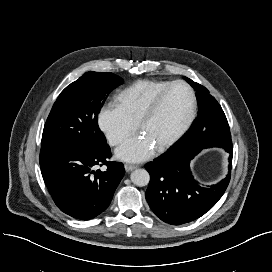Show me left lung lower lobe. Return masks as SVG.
<instances>
[{
	"label": "left lung lower lobe",
	"instance_id": "obj_1",
	"mask_svg": "<svg viewBox=\"0 0 272 272\" xmlns=\"http://www.w3.org/2000/svg\"><path fill=\"white\" fill-rule=\"evenodd\" d=\"M209 147H222L230 154L229 174L215 185L203 186L193 178L189 164L202 149ZM232 153V141L219 146L207 145L188 134L168 152L147 163L150 182L145 196L152 211L172 225L188 223L204 215L219 201L229 184Z\"/></svg>",
	"mask_w": 272,
	"mask_h": 272
}]
</instances>
